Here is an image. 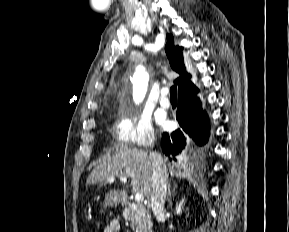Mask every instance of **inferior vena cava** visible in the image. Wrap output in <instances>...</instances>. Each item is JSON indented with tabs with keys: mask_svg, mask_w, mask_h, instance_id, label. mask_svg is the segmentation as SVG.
<instances>
[{
	"mask_svg": "<svg viewBox=\"0 0 289 232\" xmlns=\"http://www.w3.org/2000/svg\"><path fill=\"white\" fill-rule=\"evenodd\" d=\"M150 158L153 166L151 209L155 215H158L164 211L168 174L160 154L152 151Z\"/></svg>",
	"mask_w": 289,
	"mask_h": 232,
	"instance_id": "602c4592",
	"label": "inferior vena cava"
}]
</instances>
